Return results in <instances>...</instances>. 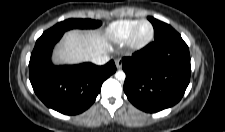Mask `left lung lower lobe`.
<instances>
[{
    "label": "left lung lower lobe",
    "instance_id": "0a47b994",
    "mask_svg": "<svg viewBox=\"0 0 225 132\" xmlns=\"http://www.w3.org/2000/svg\"><path fill=\"white\" fill-rule=\"evenodd\" d=\"M153 24L161 21L148 17ZM126 73L124 92L145 112H158L180 101L190 81L189 49L179 34L147 45L122 59Z\"/></svg>",
    "mask_w": 225,
    "mask_h": 132
}]
</instances>
